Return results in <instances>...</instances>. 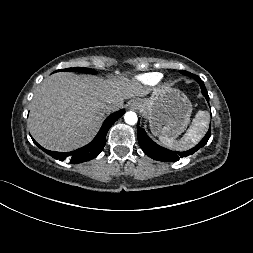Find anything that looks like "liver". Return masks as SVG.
<instances>
[{
	"label": "liver",
	"instance_id": "liver-1",
	"mask_svg": "<svg viewBox=\"0 0 253 253\" xmlns=\"http://www.w3.org/2000/svg\"><path fill=\"white\" fill-rule=\"evenodd\" d=\"M146 93L142 85L125 77L104 80L68 72L53 74L38 86L31 101V135L52 151L77 149L91 139L105 113ZM108 104L114 109L108 111Z\"/></svg>",
	"mask_w": 253,
	"mask_h": 253
}]
</instances>
